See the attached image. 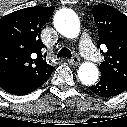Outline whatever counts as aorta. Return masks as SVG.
I'll return each instance as SVG.
<instances>
[{"label": "aorta", "mask_w": 127, "mask_h": 127, "mask_svg": "<svg viewBox=\"0 0 127 127\" xmlns=\"http://www.w3.org/2000/svg\"><path fill=\"white\" fill-rule=\"evenodd\" d=\"M54 26L63 36L74 39L80 33L78 16L69 9L58 11L54 17ZM99 76L97 66L92 62H84L79 66L78 78L85 85L94 84Z\"/></svg>", "instance_id": "aorta-1"}]
</instances>
